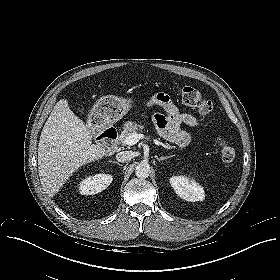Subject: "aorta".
I'll use <instances>...</instances> for the list:
<instances>
[{
  "label": "aorta",
  "mask_w": 280,
  "mask_h": 280,
  "mask_svg": "<svg viewBox=\"0 0 280 280\" xmlns=\"http://www.w3.org/2000/svg\"><path fill=\"white\" fill-rule=\"evenodd\" d=\"M150 165L147 162H140L135 169L138 178H147L150 175Z\"/></svg>",
  "instance_id": "762f6f07"
}]
</instances>
